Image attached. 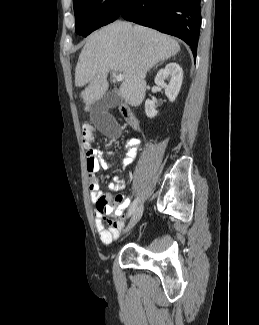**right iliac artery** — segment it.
<instances>
[{
    "label": "right iliac artery",
    "instance_id": "right-iliac-artery-1",
    "mask_svg": "<svg viewBox=\"0 0 259 325\" xmlns=\"http://www.w3.org/2000/svg\"><path fill=\"white\" fill-rule=\"evenodd\" d=\"M137 204H138V198H136L133 203L131 204L129 210H128V213H127V216H131L133 214V212L135 211L136 207H137Z\"/></svg>",
    "mask_w": 259,
    "mask_h": 325
}]
</instances>
